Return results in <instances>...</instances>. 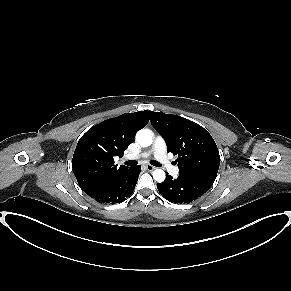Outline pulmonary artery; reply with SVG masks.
I'll return each instance as SVG.
<instances>
[{
	"label": "pulmonary artery",
	"mask_w": 291,
	"mask_h": 291,
	"mask_svg": "<svg viewBox=\"0 0 291 291\" xmlns=\"http://www.w3.org/2000/svg\"><path fill=\"white\" fill-rule=\"evenodd\" d=\"M151 154H154L157 161L161 163V166L164 167L172 176H178L179 168L174 166L168 159L166 154V143L162 137L158 136L155 139L153 147L150 150L141 153L140 157L146 158Z\"/></svg>",
	"instance_id": "1"
}]
</instances>
